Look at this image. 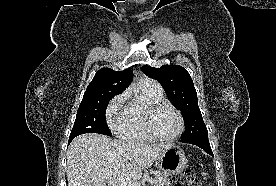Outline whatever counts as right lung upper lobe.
Returning <instances> with one entry per match:
<instances>
[{"mask_svg": "<svg viewBox=\"0 0 276 186\" xmlns=\"http://www.w3.org/2000/svg\"><path fill=\"white\" fill-rule=\"evenodd\" d=\"M133 80V72L130 69L114 71L110 68L98 70L88 85L86 92L111 91L121 93Z\"/></svg>", "mask_w": 276, "mask_h": 186, "instance_id": "1", "label": "right lung upper lobe"}]
</instances>
